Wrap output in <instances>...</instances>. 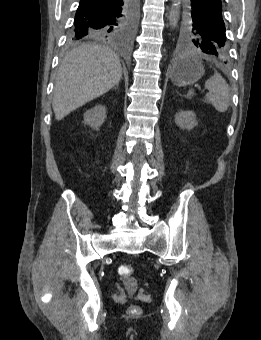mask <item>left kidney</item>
Returning <instances> with one entry per match:
<instances>
[{"instance_id":"1","label":"left kidney","mask_w":261,"mask_h":340,"mask_svg":"<svg viewBox=\"0 0 261 340\" xmlns=\"http://www.w3.org/2000/svg\"><path fill=\"white\" fill-rule=\"evenodd\" d=\"M175 123L182 129H193L197 125L193 111H180L175 115Z\"/></svg>"}]
</instances>
